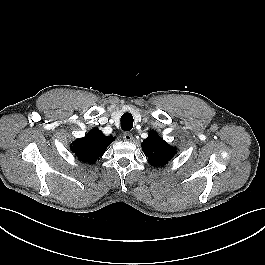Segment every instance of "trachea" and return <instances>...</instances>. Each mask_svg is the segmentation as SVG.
Listing matches in <instances>:
<instances>
[{
    "label": "trachea",
    "mask_w": 265,
    "mask_h": 265,
    "mask_svg": "<svg viewBox=\"0 0 265 265\" xmlns=\"http://www.w3.org/2000/svg\"><path fill=\"white\" fill-rule=\"evenodd\" d=\"M121 128L124 131H130L133 128V116L130 113H124L121 117Z\"/></svg>",
    "instance_id": "trachea-1"
}]
</instances>
